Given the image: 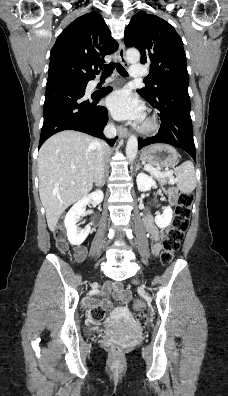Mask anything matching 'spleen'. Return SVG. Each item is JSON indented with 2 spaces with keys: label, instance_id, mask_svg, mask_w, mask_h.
<instances>
[{
  "label": "spleen",
  "instance_id": "1",
  "mask_svg": "<svg viewBox=\"0 0 228 396\" xmlns=\"http://www.w3.org/2000/svg\"><path fill=\"white\" fill-rule=\"evenodd\" d=\"M177 188L184 194H190L196 187L194 165L186 161L174 169Z\"/></svg>",
  "mask_w": 228,
  "mask_h": 396
}]
</instances>
